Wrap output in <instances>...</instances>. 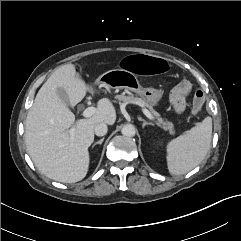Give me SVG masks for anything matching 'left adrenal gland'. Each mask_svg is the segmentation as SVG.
I'll return each mask as SVG.
<instances>
[{
  "instance_id": "1",
  "label": "left adrenal gland",
  "mask_w": 241,
  "mask_h": 241,
  "mask_svg": "<svg viewBox=\"0 0 241 241\" xmlns=\"http://www.w3.org/2000/svg\"><path fill=\"white\" fill-rule=\"evenodd\" d=\"M139 119V121H142L143 122V125H142V127L144 128L146 125H154L153 123H151V122H147L146 120H144V119H142L141 117L140 118H138Z\"/></svg>"
}]
</instances>
